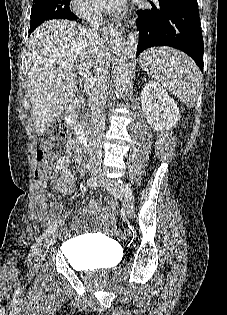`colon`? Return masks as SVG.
I'll return each instance as SVG.
<instances>
[{"label": "colon", "instance_id": "1", "mask_svg": "<svg viewBox=\"0 0 227 315\" xmlns=\"http://www.w3.org/2000/svg\"><path fill=\"white\" fill-rule=\"evenodd\" d=\"M69 138L67 127L63 123L51 124L41 136V147L37 152V160L41 166L37 169V176L43 178L51 173L50 164L54 156L60 154ZM106 230L111 233H120L119 226L115 219L106 225ZM123 235L127 233L123 232Z\"/></svg>", "mask_w": 227, "mask_h": 315}]
</instances>
